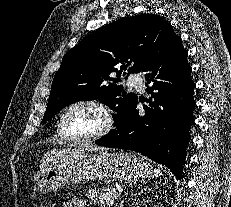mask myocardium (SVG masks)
I'll list each match as a JSON object with an SVG mask.
<instances>
[{"instance_id": "f54148a6", "label": "myocardium", "mask_w": 231, "mask_h": 207, "mask_svg": "<svg viewBox=\"0 0 231 207\" xmlns=\"http://www.w3.org/2000/svg\"><path fill=\"white\" fill-rule=\"evenodd\" d=\"M79 105H90L95 107L96 109H98L100 111V113L103 116V125L102 127L97 130L96 132L85 136V137H74L72 136L66 127V117L67 114L75 107L79 106ZM115 125V117L113 114L112 109L105 104L104 102L100 101L99 99L96 98H82V99H78L72 103H70L61 113L60 115V119H59V128H60V132L62 134V136L69 142L72 143H77V144H81V143H87V142H91V141H95L98 140L102 137H104L105 135H107L108 133H110Z\"/></svg>"}]
</instances>
